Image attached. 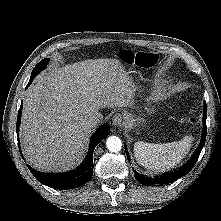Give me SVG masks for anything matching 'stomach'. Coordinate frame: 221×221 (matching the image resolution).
<instances>
[{"label": "stomach", "mask_w": 221, "mask_h": 221, "mask_svg": "<svg viewBox=\"0 0 221 221\" xmlns=\"http://www.w3.org/2000/svg\"><path fill=\"white\" fill-rule=\"evenodd\" d=\"M128 123H129V127L131 128H135V127H140L143 125L144 120L142 118H137V117H133L130 116L128 119Z\"/></svg>", "instance_id": "1"}]
</instances>
